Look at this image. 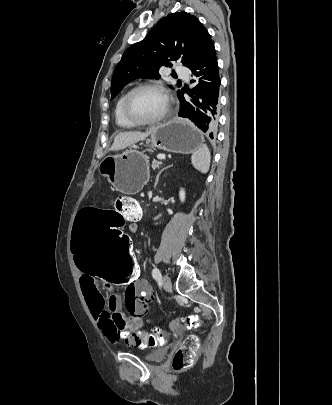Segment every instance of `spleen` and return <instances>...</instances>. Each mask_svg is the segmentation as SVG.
I'll return each instance as SVG.
<instances>
[{
	"label": "spleen",
	"mask_w": 332,
	"mask_h": 405,
	"mask_svg": "<svg viewBox=\"0 0 332 405\" xmlns=\"http://www.w3.org/2000/svg\"><path fill=\"white\" fill-rule=\"evenodd\" d=\"M211 154L206 144L202 145L191 157L192 165L195 169L205 174L210 167Z\"/></svg>",
	"instance_id": "obj_1"
}]
</instances>
